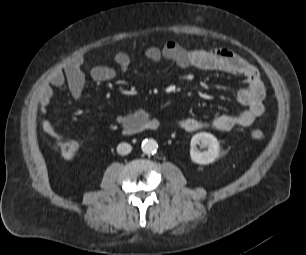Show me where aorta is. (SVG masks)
<instances>
[{
  "label": "aorta",
  "mask_w": 306,
  "mask_h": 255,
  "mask_svg": "<svg viewBox=\"0 0 306 255\" xmlns=\"http://www.w3.org/2000/svg\"><path fill=\"white\" fill-rule=\"evenodd\" d=\"M158 144L154 139H146L142 142L141 149L145 154H153L157 151Z\"/></svg>",
  "instance_id": "1"
}]
</instances>
